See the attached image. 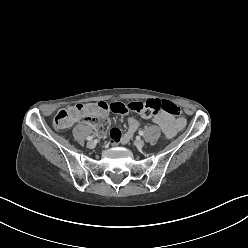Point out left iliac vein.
I'll use <instances>...</instances> for the list:
<instances>
[{
  "mask_svg": "<svg viewBox=\"0 0 248 248\" xmlns=\"http://www.w3.org/2000/svg\"><path fill=\"white\" fill-rule=\"evenodd\" d=\"M134 144L136 147L142 148L144 146L145 142L142 139H136Z\"/></svg>",
  "mask_w": 248,
  "mask_h": 248,
  "instance_id": "left-iliac-vein-1",
  "label": "left iliac vein"
}]
</instances>
